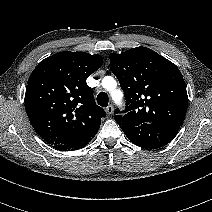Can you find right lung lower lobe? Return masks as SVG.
<instances>
[{
  "label": "right lung lower lobe",
  "mask_w": 212,
  "mask_h": 212,
  "mask_svg": "<svg viewBox=\"0 0 212 212\" xmlns=\"http://www.w3.org/2000/svg\"><path fill=\"white\" fill-rule=\"evenodd\" d=\"M88 143L89 142H71L52 146L59 151H73L85 147Z\"/></svg>",
  "instance_id": "98d812e1"
}]
</instances>
